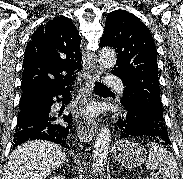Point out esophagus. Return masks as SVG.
<instances>
[{
	"mask_svg": "<svg viewBox=\"0 0 183 179\" xmlns=\"http://www.w3.org/2000/svg\"><path fill=\"white\" fill-rule=\"evenodd\" d=\"M85 56V95L90 99L92 97L91 87L93 86L94 79L98 78L102 73V67L92 53L87 52ZM85 103H87V99L84 101ZM75 120L79 139L84 142H90L97 131L96 121L85 117L82 109L76 112Z\"/></svg>",
	"mask_w": 183,
	"mask_h": 179,
	"instance_id": "1",
	"label": "esophagus"
}]
</instances>
